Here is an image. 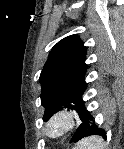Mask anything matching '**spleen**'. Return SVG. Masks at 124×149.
<instances>
[{"label": "spleen", "instance_id": "1", "mask_svg": "<svg viewBox=\"0 0 124 149\" xmlns=\"http://www.w3.org/2000/svg\"><path fill=\"white\" fill-rule=\"evenodd\" d=\"M96 142V140L91 139L88 142H86V144L88 145V149H98L96 145H94V143Z\"/></svg>", "mask_w": 124, "mask_h": 149}]
</instances>
